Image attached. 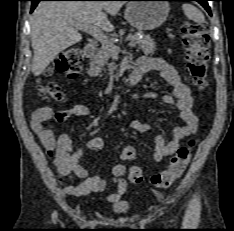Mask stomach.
Masks as SVG:
<instances>
[{
    "mask_svg": "<svg viewBox=\"0 0 234 231\" xmlns=\"http://www.w3.org/2000/svg\"><path fill=\"white\" fill-rule=\"evenodd\" d=\"M170 11L165 0H135L125 9V19L139 31H151L160 27Z\"/></svg>",
    "mask_w": 234,
    "mask_h": 231,
    "instance_id": "0dacf381",
    "label": "stomach"
}]
</instances>
